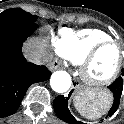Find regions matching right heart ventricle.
Segmentation results:
<instances>
[{
	"label": "right heart ventricle",
	"mask_w": 124,
	"mask_h": 124,
	"mask_svg": "<svg viewBox=\"0 0 124 124\" xmlns=\"http://www.w3.org/2000/svg\"><path fill=\"white\" fill-rule=\"evenodd\" d=\"M111 40L110 35L97 28L73 30L63 28L56 38L58 54L65 61L80 65L87 53L98 43Z\"/></svg>",
	"instance_id": "right-heart-ventricle-1"
}]
</instances>
